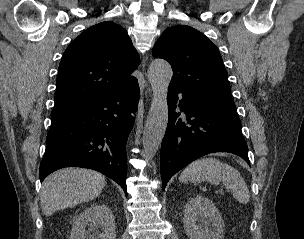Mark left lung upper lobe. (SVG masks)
Listing matches in <instances>:
<instances>
[{"mask_svg": "<svg viewBox=\"0 0 304 239\" xmlns=\"http://www.w3.org/2000/svg\"><path fill=\"white\" fill-rule=\"evenodd\" d=\"M152 55L171 64L170 87L202 102L235 110L220 52L198 30L190 26L167 28L154 45Z\"/></svg>", "mask_w": 304, "mask_h": 239, "instance_id": "left-lung-upper-lobe-1", "label": "left lung upper lobe"}]
</instances>
